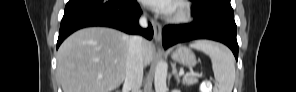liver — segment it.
<instances>
[{"label":"liver","instance_id":"obj_1","mask_svg":"<svg viewBox=\"0 0 296 92\" xmlns=\"http://www.w3.org/2000/svg\"><path fill=\"white\" fill-rule=\"evenodd\" d=\"M130 36L111 28L90 27L69 36L59 47L57 74L63 92H112L124 81ZM155 47L143 41L144 66Z\"/></svg>","mask_w":296,"mask_h":92}]
</instances>
